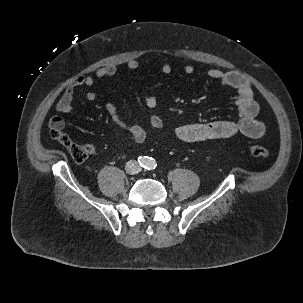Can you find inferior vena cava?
<instances>
[{
  "label": "inferior vena cava",
  "instance_id": "602c4592",
  "mask_svg": "<svg viewBox=\"0 0 303 303\" xmlns=\"http://www.w3.org/2000/svg\"><path fill=\"white\" fill-rule=\"evenodd\" d=\"M126 168H127L128 172L134 174V173L138 172L139 166L136 162L131 160V161L127 162Z\"/></svg>",
  "mask_w": 303,
  "mask_h": 303
}]
</instances>
